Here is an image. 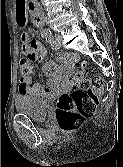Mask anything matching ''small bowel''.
Returning a JSON list of instances; mask_svg holds the SVG:
<instances>
[{
    "label": "small bowel",
    "mask_w": 123,
    "mask_h": 167,
    "mask_svg": "<svg viewBox=\"0 0 123 167\" xmlns=\"http://www.w3.org/2000/svg\"><path fill=\"white\" fill-rule=\"evenodd\" d=\"M15 3H17L16 9H18L15 10L18 19L17 24H27V13H25L27 1L15 0ZM34 24L37 26L36 20ZM21 53L26 57L28 63L24 67H20L21 77L19 80L18 93L20 95L47 96L48 92L46 88L34 82L30 77L33 69L31 62L44 57V48L38 42L30 41L29 34L25 32L21 35ZM70 68V66L62 67L51 60L44 62L43 71L49 76V87L55 92L67 90L70 86Z\"/></svg>",
    "instance_id": "small-bowel-1"
}]
</instances>
